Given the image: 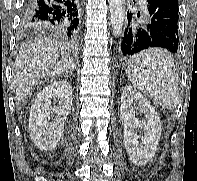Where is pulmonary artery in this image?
I'll use <instances>...</instances> for the list:
<instances>
[{"mask_svg": "<svg viewBox=\"0 0 197 181\" xmlns=\"http://www.w3.org/2000/svg\"><path fill=\"white\" fill-rule=\"evenodd\" d=\"M140 4H141V7H142L143 9H146V8H147L146 0H140Z\"/></svg>", "mask_w": 197, "mask_h": 181, "instance_id": "1", "label": "pulmonary artery"}]
</instances>
